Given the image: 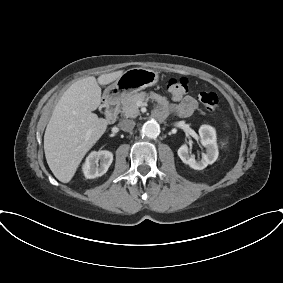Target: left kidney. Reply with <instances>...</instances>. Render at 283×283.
Instances as JSON below:
<instances>
[{"instance_id": "obj_1", "label": "left kidney", "mask_w": 283, "mask_h": 283, "mask_svg": "<svg viewBox=\"0 0 283 283\" xmlns=\"http://www.w3.org/2000/svg\"><path fill=\"white\" fill-rule=\"evenodd\" d=\"M201 144L206 148V153L202 154V159L197 161L194 156L189 154V148L183 144L178 149V156L183 163L189 165L192 169L202 170L209 164H213L218 158V146L216 141V131L209 125H202L199 128Z\"/></svg>"}]
</instances>
